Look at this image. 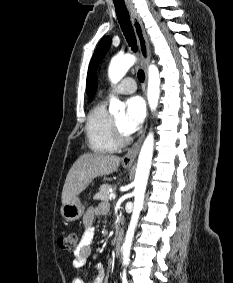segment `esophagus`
<instances>
[{
  "instance_id": "34e87169",
  "label": "esophagus",
  "mask_w": 233,
  "mask_h": 283,
  "mask_svg": "<svg viewBox=\"0 0 233 283\" xmlns=\"http://www.w3.org/2000/svg\"><path fill=\"white\" fill-rule=\"evenodd\" d=\"M128 11H129L131 21L134 27L135 35H136L137 42L140 48V53H141L143 62L145 64V74H146V83H147L146 65L149 63L150 58H151V49H150L149 40H148L147 34L143 26V22L139 14L136 12V10L133 7H128ZM146 83H145V86H146ZM146 127H145V130H146ZM144 136H145V131L140 136L138 141L127 152V154L122 158L123 163H132L135 160L140 150V146L144 139Z\"/></svg>"
}]
</instances>
